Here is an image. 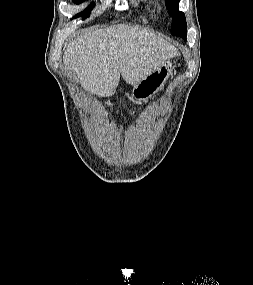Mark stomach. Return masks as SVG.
Returning a JSON list of instances; mask_svg holds the SVG:
<instances>
[{"mask_svg":"<svg viewBox=\"0 0 253 285\" xmlns=\"http://www.w3.org/2000/svg\"><path fill=\"white\" fill-rule=\"evenodd\" d=\"M174 63L168 59L160 67L134 86L132 96L136 101H146L160 91L172 75Z\"/></svg>","mask_w":253,"mask_h":285,"instance_id":"stomach-1","label":"stomach"}]
</instances>
